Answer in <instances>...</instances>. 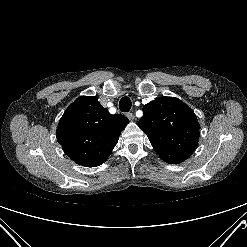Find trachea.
I'll return each mask as SVG.
<instances>
[{
	"label": "trachea",
	"instance_id": "1",
	"mask_svg": "<svg viewBox=\"0 0 247 247\" xmlns=\"http://www.w3.org/2000/svg\"><path fill=\"white\" fill-rule=\"evenodd\" d=\"M132 102L129 97L121 98L119 102V109L121 112H128L131 109Z\"/></svg>",
	"mask_w": 247,
	"mask_h": 247
}]
</instances>
